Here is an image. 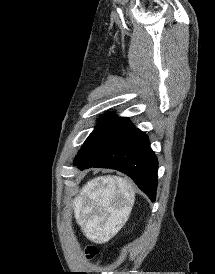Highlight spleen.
Masks as SVG:
<instances>
[{"instance_id":"1","label":"spleen","mask_w":215,"mask_h":274,"mask_svg":"<svg viewBox=\"0 0 215 274\" xmlns=\"http://www.w3.org/2000/svg\"><path fill=\"white\" fill-rule=\"evenodd\" d=\"M82 195L91 211L81 222L86 235L97 241H105L113 221L123 219L131 210L135 193L129 181L121 177H100L87 183ZM82 202L75 200L76 210Z\"/></svg>"}]
</instances>
